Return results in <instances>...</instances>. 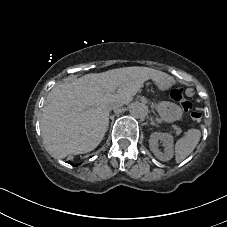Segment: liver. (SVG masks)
<instances>
[{"label": "liver", "mask_w": 227, "mask_h": 227, "mask_svg": "<svg viewBox=\"0 0 227 227\" xmlns=\"http://www.w3.org/2000/svg\"><path fill=\"white\" fill-rule=\"evenodd\" d=\"M151 73L158 72L146 67L118 68L52 88L40 121L48 153L65 159L93 151L107 131V107L115 90L131 98Z\"/></svg>", "instance_id": "1"}]
</instances>
